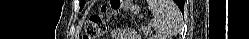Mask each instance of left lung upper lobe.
<instances>
[{"instance_id":"left-lung-upper-lobe-1","label":"left lung upper lobe","mask_w":249,"mask_h":39,"mask_svg":"<svg viewBox=\"0 0 249 39\" xmlns=\"http://www.w3.org/2000/svg\"><path fill=\"white\" fill-rule=\"evenodd\" d=\"M83 4H84V1L82 0V1H81V9H82V7H83ZM180 4H181V2L179 1V2H178V5H180Z\"/></svg>"}]
</instances>
